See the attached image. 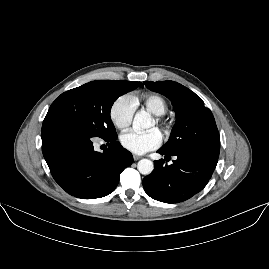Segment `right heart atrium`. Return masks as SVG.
<instances>
[{"label": "right heart atrium", "mask_w": 269, "mask_h": 269, "mask_svg": "<svg viewBox=\"0 0 269 269\" xmlns=\"http://www.w3.org/2000/svg\"><path fill=\"white\" fill-rule=\"evenodd\" d=\"M135 112V101L129 94L117 97L109 108V119L116 129L124 130L132 122Z\"/></svg>", "instance_id": "obj_1"}]
</instances>
